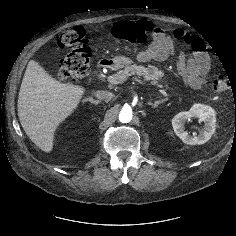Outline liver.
<instances>
[{
    "label": "liver",
    "mask_w": 236,
    "mask_h": 236,
    "mask_svg": "<svg viewBox=\"0 0 236 236\" xmlns=\"http://www.w3.org/2000/svg\"><path fill=\"white\" fill-rule=\"evenodd\" d=\"M84 93L83 86L61 83L38 62L29 61L17 107L20 123L31 141L50 153L57 128L76 110Z\"/></svg>",
    "instance_id": "liver-1"
}]
</instances>
